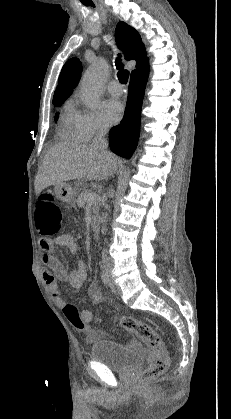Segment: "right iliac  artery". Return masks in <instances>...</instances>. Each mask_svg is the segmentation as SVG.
<instances>
[{
    "mask_svg": "<svg viewBox=\"0 0 231 419\" xmlns=\"http://www.w3.org/2000/svg\"><path fill=\"white\" fill-rule=\"evenodd\" d=\"M101 278H102V281H103L105 284H107V283L109 282V277H108V275H107V273H106L105 271H102V273H101Z\"/></svg>",
    "mask_w": 231,
    "mask_h": 419,
    "instance_id": "1",
    "label": "right iliac artery"
}]
</instances>
